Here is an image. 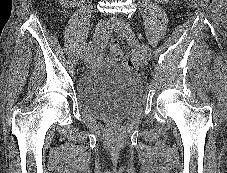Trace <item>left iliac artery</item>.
Returning <instances> with one entry per match:
<instances>
[{
    "label": "left iliac artery",
    "instance_id": "1",
    "mask_svg": "<svg viewBox=\"0 0 227 173\" xmlns=\"http://www.w3.org/2000/svg\"><path fill=\"white\" fill-rule=\"evenodd\" d=\"M143 49L148 54V56L150 57L151 56V50H150V48L147 45H143Z\"/></svg>",
    "mask_w": 227,
    "mask_h": 173
}]
</instances>
